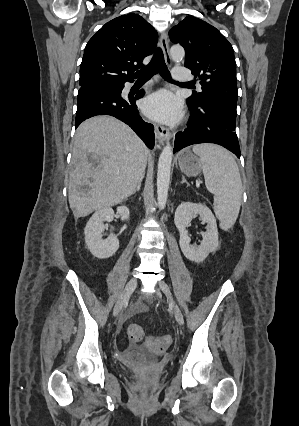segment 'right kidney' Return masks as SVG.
I'll list each match as a JSON object with an SVG mask.
<instances>
[{"label":"right kidney","instance_id":"1","mask_svg":"<svg viewBox=\"0 0 299 426\" xmlns=\"http://www.w3.org/2000/svg\"><path fill=\"white\" fill-rule=\"evenodd\" d=\"M117 214L121 220L128 221L130 211L126 206H118ZM115 214L112 208L106 207L97 210L86 224L84 229L85 242L91 254L99 259L109 258L115 254L119 248V240L116 235L110 234L106 239H102L105 230L104 221L111 222Z\"/></svg>","mask_w":299,"mask_h":426}]
</instances>
